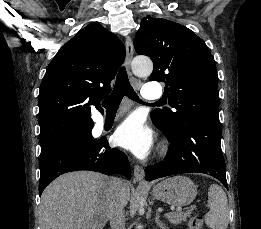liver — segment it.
Returning <instances> with one entry per match:
<instances>
[{
	"mask_svg": "<svg viewBox=\"0 0 261 229\" xmlns=\"http://www.w3.org/2000/svg\"><path fill=\"white\" fill-rule=\"evenodd\" d=\"M110 177L92 171L65 173L41 195L40 229H103L109 221ZM124 207L130 201L128 183L121 191Z\"/></svg>",
	"mask_w": 261,
	"mask_h": 229,
	"instance_id": "6515ba94",
	"label": "liver"
}]
</instances>
